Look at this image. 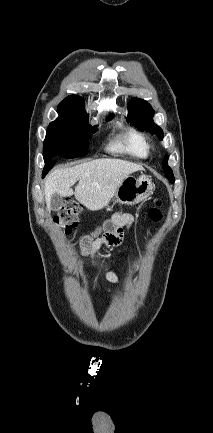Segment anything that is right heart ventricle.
<instances>
[{
	"label": "right heart ventricle",
	"mask_w": 213,
	"mask_h": 433,
	"mask_svg": "<svg viewBox=\"0 0 213 433\" xmlns=\"http://www.w3.org/2000/svg\"><path fill=\"white\" fill-rule=\"evenodd\" d=\"M111 149L145 158L149 153V144L144 135L135 130H130L128 133L123 135L122 140L116 141L111 146Z\"/></svg>",
	"instance_id": "e07e8e85"
}]
</instances>
